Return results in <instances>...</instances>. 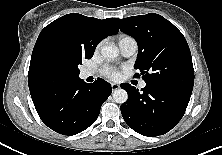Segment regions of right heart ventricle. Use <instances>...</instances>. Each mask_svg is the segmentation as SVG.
Masks as SVG:
<instances>
[{"mask_svg":"<svg viewBox=\"0 0 222 155\" xmlns=\"http://www.w3.org/2000/svg\"><path fill=\"white\" fill-rule=\"evenodd\" d=\"M130 38L131 37H129V36H121L119 42L122 41V40H125V39H130Z\"/></svg>","mask_w":222,"mask_h":155,"instance_id":"e07e8e85","label":"right heart ventricle"}]
</instances>
